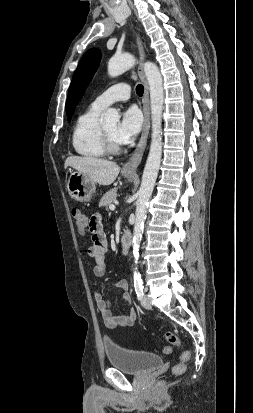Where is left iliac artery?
I'll use <instances>...</instances> for the list:
<instances>
[{"mask_svg": "<svg viewBox=\"0 0 253 413\" xmlns=\"http://www.w3.org/2000/svg\"><path fill=\"white\" fill-rule=\"evenodd\" d=\"M134 287H135V292L137 294V298L141 300L144 296V291H143L144 287H143V282H142L140 274L134 276Z\"/></svg>", "mask_w": 253, "mask_h": 413, "instance_id": "1", "label": "left iliac artery"}]
</instances>
